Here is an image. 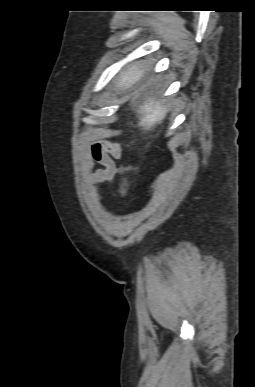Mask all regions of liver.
Returning a JSON list of instances; mask_svg holds the SVG:
<instances>
[{
    "label": "liver",
    "mask_w": 255,
    "mask_h": 387,
    "mask_svg": "<svg viewBox=\"0 0 255 387\" xmlns=\"http://www.w3.org/2000/svg\"><path fill=\"white\" fill-rule=\"evenodd\" d=\"M145 69L141 62L132 63L124 71H122L117 78L116 88L120 91H125L131 88L134 84L139 82L144 76ZM169 111L168 105H163L157 99L149 98L145 101L139 109L138 126L144 131H150L156 125L161 124Z\"/></svg>",
    "instance_id": "6515ba94"
}]
</instances>
